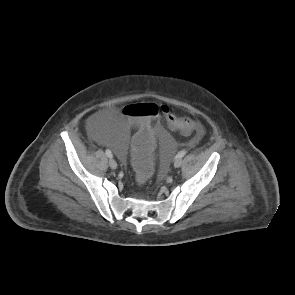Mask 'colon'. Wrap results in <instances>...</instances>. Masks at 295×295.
I'll list each match as a JSON object with an SVG mask.
<instances>
[{
    "mask_svg": "<svg viewBox=\"0 0 295 295\" xmlns=\"http://www.w3.org/2000/svg\"><path fill=\"white\" fill-rule=\"evenodd\" d=\"M117 119L121 127H134L131 162L133 175L140 182H147L154 175L152 150L157 136L151 126L159 121H165L170 130H180L185 135L196 133L198 129L197 123L192 119L182 117L179 112L170 111L165 105L159 107L151 102L135 104L130 100L124 101L120 105Z\"/></svg>",
    "mask_w": 295,
    "mask_h": 295,
    "instance_id": "1",
    "label": "colon"
}]
</instances>
